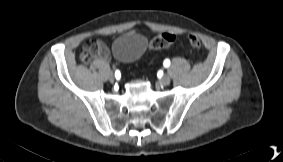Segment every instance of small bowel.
Listing matches in <instances>:
<instances>
[{
	"instance_id": "obj_1",
	"label": "small bowel",
	"mask_w": 283,
	"mask_h": 162,
	"mask_svg": "<svg viewBox=\"0 0 283 162\" xmlns=\"http://www.w3.org/2000/svg\"><path fill=\"white\" fill-rule=\"evenodd\" d=\"M84 52H88L92 56L96 55L102 60H106L109 58V49L107 45L100 40L87 44L84 48Z\"/></svg>"
}]
</instances>
